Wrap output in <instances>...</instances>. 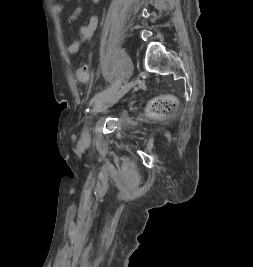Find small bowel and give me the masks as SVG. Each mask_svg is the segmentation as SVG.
<instances>
[{
  "label": "small bowel",
  "mask_w": 253,
  "mask_h": 267,
  "mask_svg": "<svg viewBox=\"0 0 253 267\" xmlns=\"http://www.w3.org/2000/svg\"><path fill=\"white\" fill-rule=\"evenodd\" d=\"M98 2L99 0H92L94 5H97ZM52 10L58 17H61L63 6L59 3H55L52 7ZM97 26L98 16L96 14H92L88 21L79 27V38L77 40H72L67 44V52L69 54H76L81 46L93 36Z\"/></svg>",
  "instance_id": "obj_1"
}]
</instances>
